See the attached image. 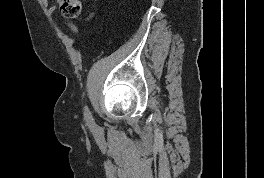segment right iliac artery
Segmentation results:
<instances>
[{
  "mask_svg": "<svg viewBox=\"0 0 264 178\" xmlns=\"http://www.w3.org/2000/svg\"><path fill=\"white\" fill-rule=\"evenodd\" d=\"M84 117H85V120H86L87 124L90 127H93L94 126V121H93L92 115H91V113H90V111H89L87 106L84 109Z\"/></svg>",
  "mask_w": 264,
  "mask_h": 178,
  "instance_id": "right-iliac-artery-1",
  "label": "right iliac artery"
}]
</instances>
